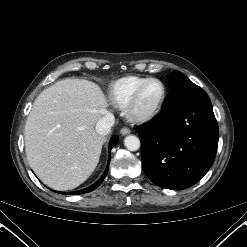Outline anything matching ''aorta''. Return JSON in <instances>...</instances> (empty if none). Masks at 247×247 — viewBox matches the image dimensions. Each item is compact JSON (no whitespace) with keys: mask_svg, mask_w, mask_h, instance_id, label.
<instances>
[{"mask_svg":"<svg viewBox=\"0 0 247 247\" xmlns=\"http://www.w3.org/2000/svg\"><path fill=\"white\" fill-rule=\"evenodd\" d=\"M124 144H125L126 148L130 151H136L140 148V140L135 135H128L124 139Z\"/></svg>","mask_w":247,"mask_h":247,"instance_id":"obj_1","label":"aorta"}]
</instances>
